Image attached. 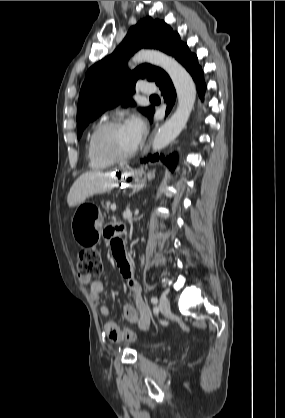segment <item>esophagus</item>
Listing matches in <instances>:
<instances>
[{
  "label": "esophagus",
  "instance_id": "1",
  "mask_svg": "<svg viewBox=\"0 0 285 418\" xmlns=\"http://www.w3.org/2000/svg\"><path fill=\"white\" fill-rule=\"evenodd\" d=\"M158 125L153 129V131L151 132V134H150V136H149V138H148V141H147V143H146V145H145V147H144V149H143V152H142V157L143 156H145L146 154H147V152H148V150H149V148H150V145H151V141H152V139H153V137H154V135H155V133H156V131H157V129H158Z\"/></svg>",
  "mask_w": 285,
  "mask_h": 418
}]
</instances>
